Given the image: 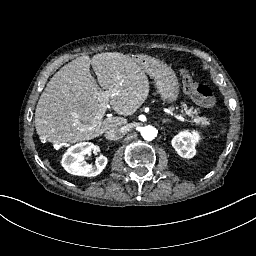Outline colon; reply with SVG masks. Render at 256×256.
I'll return each mask as SVG.
<instances>
[{
	"mask_svg": "<svg viewBox=\"0 0 256 256\" xmlns=\"http://www.w3.org/2000/svg\"><path fill=\"white\" fill-rule=\"evenodd\" d=\"M181 81L183 91L189 95L198 105L205 108H210L215 104L214 90L206 84L197 85L195 81V75L190 69H182Z\"/></svg>",
	"mask_w": 256,
	"mask_h": 256,
	"instance_id": "colon-1",
	"label": "colon"
}]
</instances>
